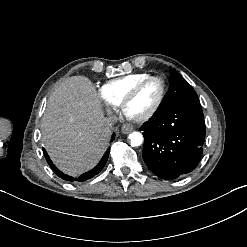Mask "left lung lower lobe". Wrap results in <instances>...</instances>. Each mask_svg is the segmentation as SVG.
Returning a JSON list of instances; mask_svg holds the SVG:
<instances>
[{"instance_id": "0a47b994", "label": "left lung lower lobe", "mask_w": 247, "mask_h": 247, "mask_svg": "<svg viewBox=\"0 0 247 247\" xmlns=\"http://www.w3.org/2000/svg\"><path fill=\"white\" fill-rule=\"evenodd\" d=\"M143 159L150 171L172 180L193 171L202 156L205 123L200 103L172 105L141 126Z\"/></svg>"}]
</instances>
